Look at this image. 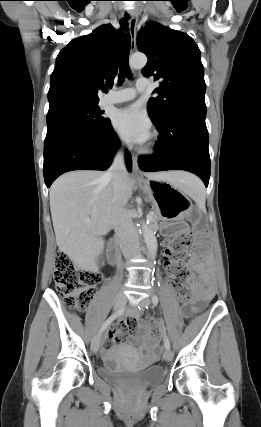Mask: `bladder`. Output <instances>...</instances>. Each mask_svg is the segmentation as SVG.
<instances>
[{
  "label": "bladder",
  "instance_id": "bladder-1",
  "mask_svg": "<svg viewBox=\"0 0 261 427\" xmlns=\"http://www.w3.org/2000/svg\"><path fill=\"white\" fill-rule=\"evenodd\" d=\"M98 374L105 380L114 383H136L141 386H154L165 378V370L160 365L150 366L142 370H136L122 366L115 357L107 355L102 365L98 368Z\"/></svg>",
  "mask_w": 261,
  "mask_h": 427
}]
</instances>
